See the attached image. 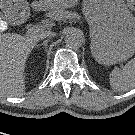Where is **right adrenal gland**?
Masks as SVG:
<instances>
[{"mask_svg":"<svg viewBox=\"0 0 135 135\" xmlns=\"http://www.w3.org/2000/svg\"><path fill=\"white\" fill-rule=\"evenodd\" d=\"M49 41H50V38L46 39L42 44H39L38 46H44L45 49L47 50V44H48Z\"/></svg>","mask_w":135,"mask_h":135,"instance_id":"1","label":"right adrenal gland"}]
</instances>
